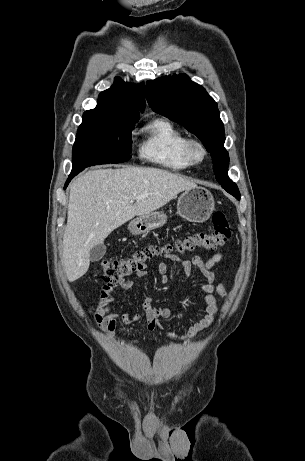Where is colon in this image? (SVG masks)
<instances>
[{"label": "colon", "mask_w": 305, "mask_h": 461, "mask_svg": "<svg viewBox=\"0 0 305 461\" xmlns=\"http://www.w3.org/2000/svg\"><path fill=\"white\" fill-rule=\"evenodd\" d=\"M213 230L197 232L179 238L162 247H143L130 257L121 259H104L101 262L100 274L103 280L118 282L143 268L152 257L163 254H184L196 250H216L231 236L228 220L223 212L217 211L212 216Z\"/></svg>", "instance_id": "5ec220e1"}]
</instances>
